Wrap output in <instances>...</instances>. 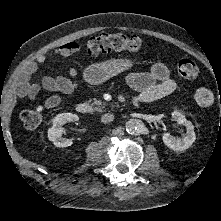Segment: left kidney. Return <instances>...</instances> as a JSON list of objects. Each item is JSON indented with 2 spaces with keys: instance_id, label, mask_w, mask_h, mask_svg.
<instances>
[{
  "instance_id": "1",
  "label": "left kidney",
  "mask_w": 221,
  "mask_h": 221,
  "mask_svg": "<svg viewBox=\"0 0 221 221\" xmlns=\"http://www.w3.org/2000/svg\"><path fill=\"white\" fill-rule=\"evenodd\" d=\"M172 118L179 125L186 127V134L182 138H178L172 136L170 133H164L162 138L164 144L174 151H183L188 149L196 140L194 126L185 118L182 113L178 111L172 112Z\"/></svg>"
}]
</instances>
